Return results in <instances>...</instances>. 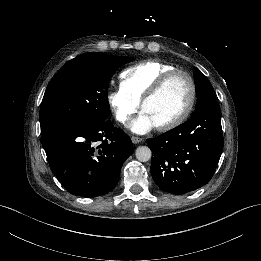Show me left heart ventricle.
<instances>
[{"mask_svg":"<svg viewBox=\"0 0 261 261\" xmlns=\"http://www.w3.org/2000/svg\"><path fill=\"white\" fill-rule=\"evenodd\" d=\"M190 98V86L184 75L174 76L162 92L148 102L145 111L156 126L173 120L181 114Z\"/></svg>","mask_w":261,"mask_h":261,"instance_id":"left-heart-ventricle-1","label":"left heart ventricle"}]
</instances>
